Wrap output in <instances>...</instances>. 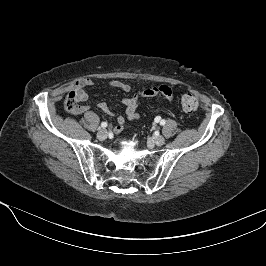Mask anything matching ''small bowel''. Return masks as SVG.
<instances>
[{"instance_id": "small-bowel-1", "label": "small bowel", "mask_w": 266, "mask_h": 266, "mask_svg": "<svg viewBox=\"0 0 266 266\" xmlns=\"http://www.w3.org/2000/svg\"><path fill=\"white\" fill-rule=\"evenodd\" d=\"M93 84L94 83L90 78H84L76 82L73 87V91L77 93L78 105L72 111L73 114L81 115L86 113L90 109L88 105L83 103L88 100V94L86 93L85 88L90 87ZM110 86L122 90L124 92H129L131 89L129 84L117 80L111 81ZM139 96L159 97L168 102H172L174 98V90L167 85H160L150 87L142 91L139 95H135L130 98H125L123 100V105L125 106V116H118L117 120L119 122V126L114 129L115 132L122 131L128 121L136 120L139 118V114L137 113ZM98 108L104 113L111 114L110 109L105 102H100L98 104Z\"/></svg>"}]
</instances>
